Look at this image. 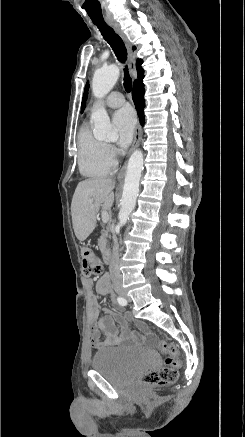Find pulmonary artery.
<instances>
[{
  "instance_id": "1",
  "label": "pulmonary artery",
  "mask_w": 245,
  "mask_h": 437,
  "mask_svg": "<svg viewBox=\"0 0 245 437\" xmlns=\"http://www.w3.org/2000/svg\"><path fill=\"white\" fill-rule=\"evenodd\" d=\"M125 99L122 93L120 92H112L108 95L105 100V105L110 108H117L124 104Z\"/></svg>"
}]
</instances>
